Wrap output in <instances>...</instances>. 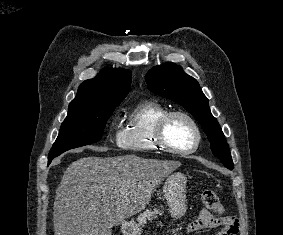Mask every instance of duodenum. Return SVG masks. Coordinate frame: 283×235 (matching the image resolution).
Masks as SVG:
<instances>
[{
	"label": "duodenum",
	"mask_w": 283,
	"mask_h": 235,
	"mask_svg": "<svg viewBox=\"0 0 283 235\" xmlns=\"http://www.w3.org/2000/svg\"><path fill=\"white\" fill-rule=\"evenodd\" d=\"M123 227L126 228V227H127V224H124Z\"/></svg>",
	"instance_id": "obj_1"
}]
</instances>
